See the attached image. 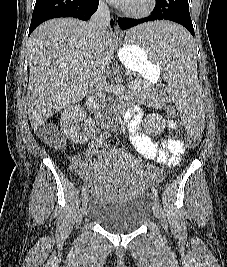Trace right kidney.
<instances>
[{
  "label": "right kidney",
  "mask_w": 227,
  "mask_h": 267,
  "mask_svg": "<svg viewBox=\"0 0 227 267\" xmlns=\"http://www.w3.org/2000/svg\"><path fill=\"white\" fill-rule=\"evenodd\" d=\"M60 126L67 138L77 144H85L93 136L94 122L87 118L80 105H72L63 111Z\"/></svg>",
  "instance_id": "right-kidney-1"
}]
</instances>
